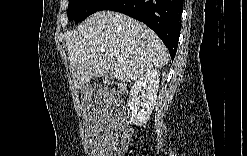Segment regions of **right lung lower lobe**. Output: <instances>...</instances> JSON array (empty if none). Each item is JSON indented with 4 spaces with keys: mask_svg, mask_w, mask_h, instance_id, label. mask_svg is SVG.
I'll list each match as a JSON object with an SVG mask.
<instances>
[{
    "mask_svg": "<svg viewBox=\"0 0 247 156\" xmlns=\"http://www.w3.org/2000/svg\"><path fill=\"white\" fill-rule=\"evenodd\" d=\"M101 10L120 12L145 23L174 58L181 29L182 0H108Z\"/></svg>",
    "mask_w": 247,
    "mask_h": 156,
    "instance_id": "98d812e1",
    "label": "right lung lower lobe"
}]
</instances>
